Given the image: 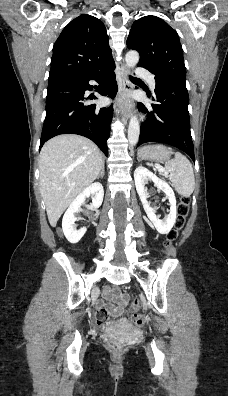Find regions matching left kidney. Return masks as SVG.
<instances>
[{
    "instance_id": "1",
    "label": "left kidney",
    "mask_w": 228,
    "mask_h": 396,
    "mask_svg": "<svg viewBox=\"0 0 228 396\" xmlns=\"http://www.w3.org/2000/svg\"><path fill=\"white\" fill-rule=\"evenodd\" d=\"M134 180H135L136 190L138 192V195L141 199L143 208L148 218L154 224L155 228L159 233L161 234L169 233L176 222V214H177L176 198L172 188L169 186L168 183L158 178L155 174H153L143 166H139L135 169ZM148 181H152L154 185L159 190H162L169 199V203H170L169 214L163 220H160L157 217V215L155 214L156 213L155 209L150 206V203L147 200L149 197V193L145 189V184Z\"/></svg>"
}]
</instances>
